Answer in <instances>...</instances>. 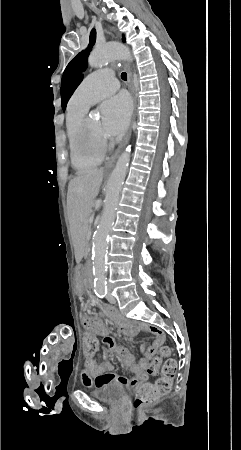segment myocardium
Returning a JSON list of instances; mask_svg holds the SVG:
<instances>
[{"label": "myocardium", "instance_id": "myocardium-1", "mask_svg": "<svg viewBox=\"0 0 241 450\" xmlns=\"http://www.w3.org/2000/svg\"><path fill=\"white\" fill-rule=\"evenodd\" d=\"M87 120H88V118H86V117L83 118L75 127V133L77 135L73 139L74 142L77 143L75 152L76 153H81V154L83 153L82 155L84 157H89V158H91L93 156H95V157H102L103 153L100 152L101 151L100 149L103 148L102 144H99L98 146H95L97 148H94V147L90 146V149L88 151H85L83 149V146L85 144L90 145V144H92V142L100 143V141H101V138L99 136H98V139L96 141H91L90 139L87 138V136L91 132H96L97 134H99L98 130L92 131L93 129L89 130V129L85 128ZM94 153H95V155H94Z\"/></svg>", "mask_w": 241, "mask_h": 450}]
</instances>
